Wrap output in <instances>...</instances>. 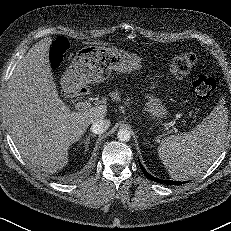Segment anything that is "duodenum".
Wrapping results in <instances>:
<instances>
[{"label": "duodenum", "instance_id": "1", "mask_svg": "<svg viewBox=\"0 0 231 231\" xmlns=\"http://www.w3.org/2000/svg\"><path fill=\"white\" fill-rule=\"evenodd\" d=\"M65 89H66L67 95H69L71 97L72 96H79V95L87 92L86 87H77L69 81L66 82Z\"/></svg>", "mask_w": 231, "mask_h": 231}]
</instances>
